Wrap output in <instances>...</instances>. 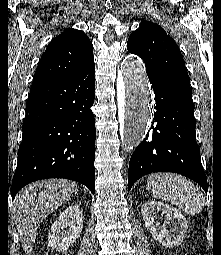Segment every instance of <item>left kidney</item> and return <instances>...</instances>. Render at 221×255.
I'll return each instance as SVG.
<instances>
[{"instance_id":"5707ae66","label":"left kidney","mask_w":221,"mask_h":255,"mask_svg":"<svg viewBox=\"0 0 221 255\" xmlns=\"http://www.w3.org/2000/svg\"><path fill=\"white\" fill-rule=\"evenodd\" d=\"M144 224L153 238L165 247L180 245L188 230V221L175 207L150 200L142 205L141 209ZM164 216L160 226L159 219Z\"/></svg>"}]
</instances>
